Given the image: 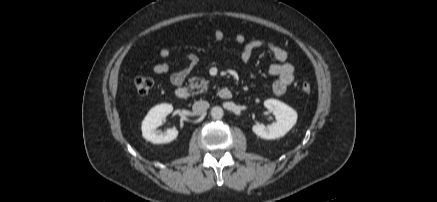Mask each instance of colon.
<instances>
[{
  "instance_id": "5ec220e1",
  "label": "colon",
  "mask_w": 437,
  "mask_h": 202,
  "mask_svg": "<svg viewBox=\"0 0 437 202\" xmlns=\"http://www.w3.org/2000/svg\"><path fill=\"white\" fill-rule=\"evenodd\" d=\"M153 84V79L150 77L138 76L134 80L135 89L141 95L147 94L152 89ZM300 89L302 93L308 95L310 94L312 87L309 82L305 81L300 85Z\"/></svg>"
}]
</instances>
